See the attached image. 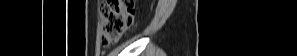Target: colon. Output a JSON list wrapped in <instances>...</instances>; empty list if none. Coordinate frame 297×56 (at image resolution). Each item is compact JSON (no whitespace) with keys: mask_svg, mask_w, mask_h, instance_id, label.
I'll list each match as a JSON object with an SVG mask.
<instances>
[{"mask_svg":"<svg viewBox=\"0 0 297 56\" xmlns=\"http://www.w3.org/2000/svg\"><path fill=\"white\" fill-rule=\"evenodd\" d=\"M101 44L109 47L118 42L134 21V1L107 0L101 4Z\"/></svg>","mask_w":297,"mask_h":56,"instance_id":"5ec220e1","label":"colon"}]
</instances>
